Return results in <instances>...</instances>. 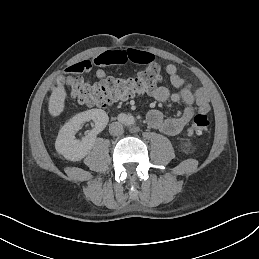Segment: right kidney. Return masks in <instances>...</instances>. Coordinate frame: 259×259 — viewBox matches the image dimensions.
Here are the masks:
<instances>
[{
    "instance_id": "ca27d5eb",
    "label": "right kidney",
    "mask_w": 259,
    "mask_h": 259,
    "mask_svg": "<svg viewBox=\"0 0 259 259\" xmlns=\"http://www.w3.org/2000/svg\"><path fill=\"white\" fill-rule=\"evenodd\" d=\"M90 120L95 124L94 129L81 141L76 140L74 133ZM108 121L109 117L102 109L87 110L74 116L59 131L55 141L57 153L70 162L82 161L91 152L96 136L105 129Z\"/></svg>"
}]
</instances>
